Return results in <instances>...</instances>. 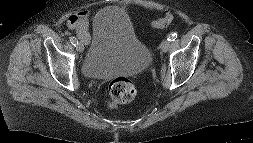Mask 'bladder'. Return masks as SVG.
Wrapping results in <instances>:
<instances>
[{"label":"bladder","instance_id":"bladder-1","mask_svg":"<svg viewBox=\"0 0 253 143\" xmlns=\"http://www.w3.org/2000/svg\"><path fill=\"white\" fill-rule=\"evenodd\" d=\"M152 64V51L136 36L125 9L111 5L96 13L91 42L82 61L85 76L109 79L136 75Z\"/></svg>","mask_w":253,"mask_h":143}]
</instances>
